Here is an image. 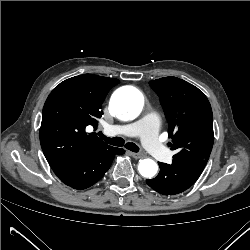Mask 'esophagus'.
Wrapping results in <instances>:
<instances>
[{
  "label": "esophagus",
  "mask_w": 250,
  "mask_h": 250,
  "mask_svg": "<svg viewBox=\"0 0 250 250\" xmlns=\"http://www.w3.org/2000/svg\"><path fill=\"white\" fill-rule=\"evenodd\" d=\"M129 154L134 157L135 159H140L143 157L141 153H134V152H129Z\"/></svg>",
  "instance_id": "esophagus-1"
}]
</instances>
